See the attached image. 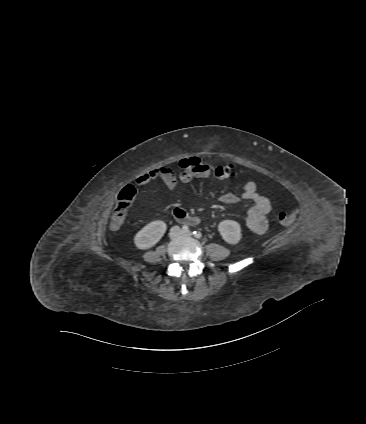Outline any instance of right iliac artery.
Here are the masks:
<instances>
[{
  "instance_id": "obj_1",
  "label": "right iliac artery",
  "mask_w": 366,
  "mask_h": 424,
  "mask_svg": "<svg viewBox=\"0 0 366 424\" xmlns=\"http://www.w3.org/2000/svg\"><path fill=\"white\" fill-rule=\"evenodd\" d=\"M182 230H183L184 232H188V231H189V227H188L187 225H183V226H182Z\"/></svg>"
}]
</instances>
